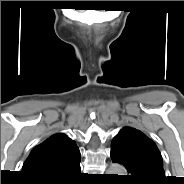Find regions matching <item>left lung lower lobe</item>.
Here are the masks:
<instances>
[{"instance_id": "obj_1", "label": "left lung lower lobe", "mask_w": 184, "mask_h": 184, "mask_svg": "<svg viewBox=\"0 0 184 184\" xmlns=\"http://www.w3.org/2000/svg\"><path fill=\"white\" fill-rule=\"evenodd\" d=\"M113 162L122 164L128 175L123 176V180L128 184H162L154 179L148 178L144 171L134 164L127 156L114 147H111L110 153Z\"/></svg>"}]
</instances>
